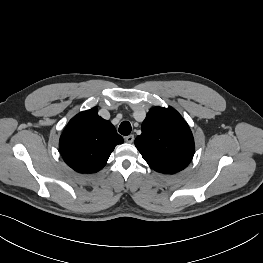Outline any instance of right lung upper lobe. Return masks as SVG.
Returning a JSON list of instances; mask_svg holds the SVG:
<instances>
[{
	"label": "right lung upper lobe",
	"instance_id": "right-lung-upper-lobe-1",
	"mask_svg": "<svg viewBox=\"0 0 263 263\" xmlns=\"http://www.w3.org/2000/svg\"><path fill=\"white\" fill-rule=\"evenodd\" d=\"M123 138L111 122L98 115L96 107L80 112L64 129L59 148L64 161L79 173L102 169Z\"/></svg>",
	"mask_w": 263,
	"mask_h": 263
}]
</instances>
